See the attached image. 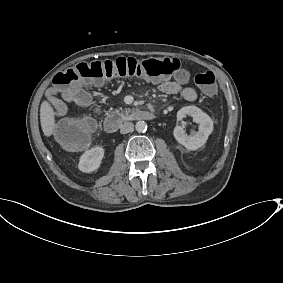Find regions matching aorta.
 <instances>
[{
  "mask_svg": "<svg viewBox=\"0 0 283 283\" xmlns=\"http://www.w3.org/2000/svg\"><path fill=\"white\" fill-rule=\"evenodd\" d=\"M135 128L137 132L142 133L147 130V124L145 121H138L135 125Z\"/></svg>",
  "mask_w": 283,
  "mask_h": 283,
  "instance_id": "1",
  "label": "aorta"
}]
</instances>
